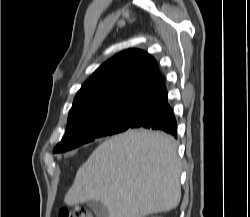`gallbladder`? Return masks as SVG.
Segmentation results:
<instances>
[{
	"mask_svg": "<svg viewBox=\"0 0 250 217\" xmlns=\"http://www.w3.org/2000/svg\"><path fill=\"white\" fill-rule=\"evenodd\" d=\"M88 206L93 210L96 217H109L108 209L100 202H89Z\"/></svg>",
	"mask_w": 250,
	"mask_h": 217,
	"instance_id": "bac80fb5",
	"label": "gallbladder"
}]
</instances>
